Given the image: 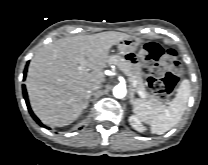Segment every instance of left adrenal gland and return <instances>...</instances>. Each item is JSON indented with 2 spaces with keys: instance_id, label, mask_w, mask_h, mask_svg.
<instances>
[{
  "instance_id": "left-adrenal-gland-1",
  "label": "left adrenal gland",
  "mask_w": 208,
  "mask_h": 165,
  "mask_svg": "<svg viewBox=\"0 0 208 165\" xmlns=\"http://www.w3.org/2000/svg\"><path fill=\"white\" fill-rule=\"evenodd\" d=\"M134 102V93L130 92V103L133 104Z\"/></svg>"
}]
</instances>
